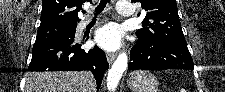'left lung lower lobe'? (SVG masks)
Returning a JSON list of instances; mask_svg holds the SVG:
<instances>
[{"mask_svg": "<svg viewBox=\"0 0 225 92\" xmlns=\"http://www.w3.org/2000/svg\"><path fill=\"white\" fill-rule=\"evenodd\" d=\"M129 70L194 69L187 45L140 39L130 53Z\"/></svg>", "mask_w": 225, "mask_h": 92, "instance_id": "1", "label": "left lung lower lobe"}]
</instances>
